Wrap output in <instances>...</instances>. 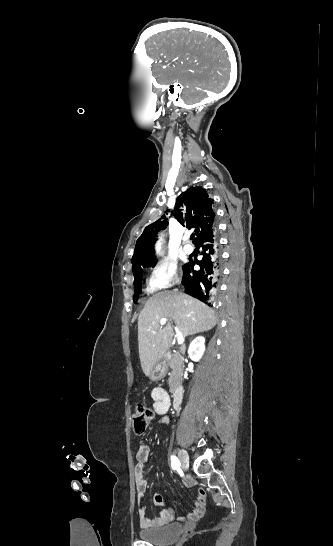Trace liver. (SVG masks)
<instances>
[{
	"label": "liver",
	"instance_id": "obj_1",
	"mask_svg": "<svg viewBox=\"0 0 333 546\" xmlns=\"http://www.w3.org/2000/svg\"><path fill=\"white\" fill-rule=\"evenodd\" d=\"M162 318L172 319L183 337L215 327V312L199 300L177 291H161L148 299L138 318V349L142 370L149 376L169 350L174 331Z\"/></svg>",
	"mask_w": 333,
	"mask_h": 546
}]
</instances>
